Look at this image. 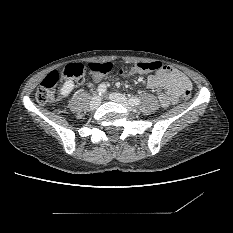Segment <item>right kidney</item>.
<instances>
[{
	"instance_id": "obj_1",
	"label": "right kidney",
	"mask_w": 233,
	"mask_h": 233,
	"mask_svg": "<svg viewBox=\"0 0 233 233\" xmlns=\"http://www.w3.org/2000/svg\"><path fill=\"white\" fill-rule=\"evenodd\" d=\"M73 89H74V82L72 80H67L64 82V84L59 90L60 95L62 97H67Z\"/></svg>"
}]
</instances>
